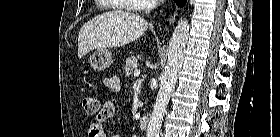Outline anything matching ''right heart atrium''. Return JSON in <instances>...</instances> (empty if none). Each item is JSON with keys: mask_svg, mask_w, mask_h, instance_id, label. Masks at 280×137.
Segmentation results:
<instances>
[{"mask_svg": "<svg viewBox=\"0 0 280 137\" xmlns=\"http://www.w3.org/2000/svg\"><path fill=\"white\" fill-rule=\"evenodd\" d=\"M135 2L137 3L139 10L147 9L153 4L152 0H135Z\"/></svg>", "mask_w": 280, "mask_h": 137, "instance_id": "d8ad5b80", "label": "right heart atrium"}]
</instances>
